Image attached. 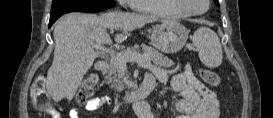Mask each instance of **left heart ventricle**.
I'll return each mask as SVG.
<instances>
[{
	"instance_id": "left-heart-ventricle-1",
	"label": "left heart ventricle",
	"mask_w": 273,
	"mask_h": 118,
	"mask_svg": "<svg viewBox=\"0 0 273 118\" xmlns=\"http://www.w3.org/2000/svg\"><path fill=\"white\" fill-rule=\"evenodd\" d=\"M190 8L192 10L199 11V10H202L204 8V4L200 0H191L190 1Z\"/></svg>"
}]
</instances>
